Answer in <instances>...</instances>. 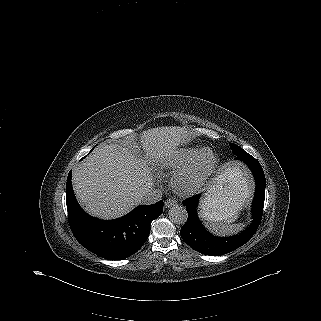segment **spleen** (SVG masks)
<instances>
[{
    "label": "spleen",
    "instance_id": "spleen-1",
    "mask_svg": "<svg viewBox=\"0 0 321 321\" xmlns=\"http://www.w3.org/2000/svg\"><path fill=\"white\" fill-rule=\"evenodd\" d=\"M231 207L226 202L219 204L208 203L202 206L201 217L207 220V227L217 235H232L238 233L244 227L243 223L227 225Z\"/></svg>",
    "mask_w": 321,
    "mask_h": 321
}]
</instances>
